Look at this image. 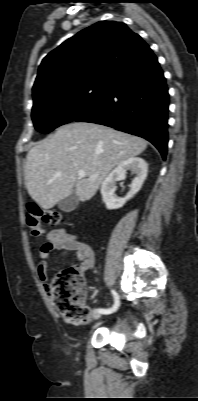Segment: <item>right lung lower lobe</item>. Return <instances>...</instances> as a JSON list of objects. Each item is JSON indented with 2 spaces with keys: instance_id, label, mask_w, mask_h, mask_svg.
<instances>
[{
  "instance_id": "right-lung-lower-lobe-1",
  "label": "right lung lower lobe",
  "mask_w": 198,
  "mask_h": 401,
  "mask_svg": "<svg viewBox=\"0 0 198 401\" xmlns=\"http://www.w3.org/2000/svg\"><path fill=\"white\" fill-rule=\"evenodd\" d=\"M168 104L163 71L150 50L113 78L100 100L74 121L102 124L145 138L165 159Z\"/></svg>"
}]
</instances>
